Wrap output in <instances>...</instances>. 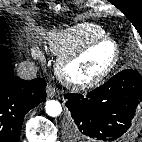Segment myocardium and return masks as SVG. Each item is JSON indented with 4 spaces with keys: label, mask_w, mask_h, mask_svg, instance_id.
Segmentation results:
<instances>
[{
    "label": "myocardium",
    "mask_w": 142,
    "mask_h": 142,
    "mask_svg": "<svg viewBox=\"0 0 142 142\" xmlns=\"http://www.w3.org/2000/svg\"><path fill=\"white\" fill-rule=\"evenodd\" d=\"M109 44L112 47V57L108 64L95 76L88 79H78L74 77L70 68L81 61L85 56H87L91 51L96 49L97 47ZM120 58V49L118 44L111 38L107 36H103L99 39L89 42L85 46L79 48L76 51H73L69 54L62 56L56 65V74L59 79L68 87L85 91L92 89L102 83L116 68Z\"/></svg>",
    "instance_id": "obj_1"
}]
</instances>
